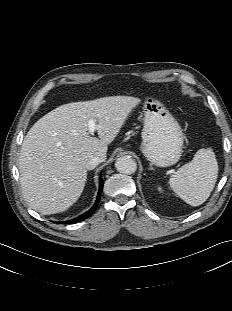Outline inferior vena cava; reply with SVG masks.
I'll return each instance as SVG.
<instances>
[{
  "label": "inferior vena cava",
  "mask_w": 232,
  "mask_h": 311,
  "mask_svg": "<svg viewBox=\"0 0 232 311\" xmlns=\"http://www.w3.org/2000/svg\"><path fill=\"white\" fill-rule=\"evenodd\" d=\"M103 161V158L100 156H92L89 160L86 161V169L92 170Z\"/></svg>",
  "instance_id": "inferior-vena-cava-1"
}]
</instances>
